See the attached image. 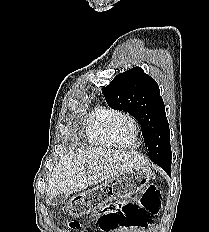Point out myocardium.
<instances>
[{
    "mask_svg": "<svg viewBox=\"0 0 209 232\" xmlns=\"http://www.w3.org/2000/svg\"><path fill=\"white\" fill-rule=\"evenodd\" d=\"M122 119H127L132 123V125H133V138L136 139L138 131H139V123H138L137 119L133 115H131L129 113H125V112H120L110 122L109 128H108L109 137H110L111 141L113 142V144L116 147L123 148V149H131V146H125V145L121 144L117 140V138L115 137V134H114V131H113L114 125L119 120H122Z\"/></svg>",
    "mask_w": 209,
    "mask_h": 232,
    "instance_id": "myocardium-1",
    "label": "myocardium"
}]
</instances>
